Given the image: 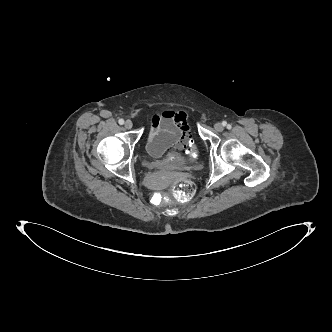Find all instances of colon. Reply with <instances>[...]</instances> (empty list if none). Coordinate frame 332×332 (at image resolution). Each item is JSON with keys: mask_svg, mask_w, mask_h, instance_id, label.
<instances>
[{"mask_svg": "<svg viewBox=\"0 0 332 332\" xmlns=\"http://www.w3.org/2000/svg\"><path fill=\"white\" fill-rule=\"evenodd\" d=\"M184 152L190 160H197L200 157L199 142L196 139H189ZM171 193L178 200H189L195 194V184L187 177H178L171 186ZM155 200L160 203L162 199L158 196Z\"/></svg>", "mask_w": 332, "mask_h": 332, "instance_id": "obj_1", "label": "colon"}]
</instances>
